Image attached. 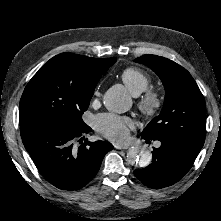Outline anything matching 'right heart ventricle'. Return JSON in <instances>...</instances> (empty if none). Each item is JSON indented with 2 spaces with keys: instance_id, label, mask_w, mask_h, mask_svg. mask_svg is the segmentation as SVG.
Here are the masks:
<instances>
[{
  "instance_id": "e07e8e85",
  "label": "right heart ventricle",
  "mask_w": 221,
  "mask_h": 221,
  "mask_svg": "<svg viewBox=\"0 0 221 221\" xmlns=\"http://www.w3.org/2000/svg\"><path fill=\"white\" fill-rule=\"evenodd\" d=\"M121 78L128 90L135 96L140 95L150 85V77L138 68H126Z\"/></svg>"
}]
</instances>
